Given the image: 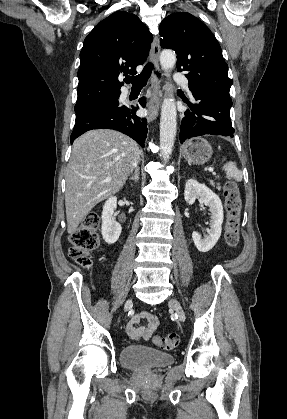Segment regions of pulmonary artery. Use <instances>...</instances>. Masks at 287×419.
<instances>
[{
    "label": "pulmonary artery",
    "mask_w": 287,
    "mask_h": 419,
    "mask_svg": "<svg viewBox=\"0 0 287 419\" xmlns=\"http://www.w3.org/2000/svg\"><path fill=\"white\" fill-rule=\"evenodd\" d=\"M173 79L175 83L182 85L185 89L189 91V82L184 75L180 73H175Z\"/></svg>",
    "instance_id": "pulmonary-artery-1"
}]
</instances>
